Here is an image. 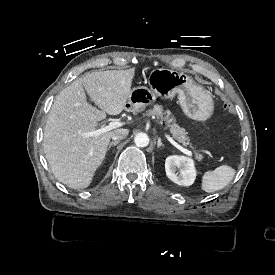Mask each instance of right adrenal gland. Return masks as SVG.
Segmentation results:
<instances>
[{
    "mask_svg": "<svg viewBox=\"0 0 275 275\" xmlns=\"http://www.w3.org/2000/svg\"><path fill=\"white\" fill-rule=\"evenodd\" d=\"M120 141L119 140H116V141H113L109 144L108 148H107V153H109L110 151V148L113 146L115 147Z\"/></svg>",
    "mask_w": 275,
    "mask_h": 275,
    "instance_id": "1",
    "label": "right adrenal gland"
}]
</instances>
